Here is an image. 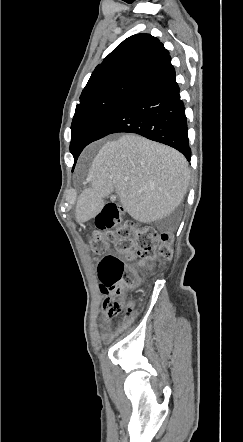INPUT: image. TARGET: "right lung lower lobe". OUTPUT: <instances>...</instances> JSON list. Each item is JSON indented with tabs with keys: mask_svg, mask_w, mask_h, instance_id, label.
I'll return each instance as SVG.
<instances>
[{
	"mask_svg": "<svg viewBox=\"0 0 243 442\" xmlns=\"http://www.w3.org/2000/svg\"><path fill=\"white\" fill-rule=\"evenodd\" d=\"M175 79L170 66L132 90L101 123L90 143L112 133H137L177 149L189 161L185 108Z\"/></svg>",
	"mask_w": 243,
	"mask_h": 442,
	"instance_id": "98d812e1",
	"label": "right lung lower lobe"
}]
</instances>
